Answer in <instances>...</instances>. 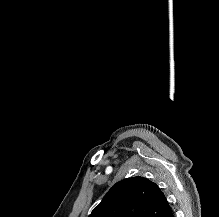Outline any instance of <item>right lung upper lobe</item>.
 Here are the masks:
<instances>
[{
  "label": "right lung upper lobe",
  "mask_w": 219,
  "mask_h": 217,
  "mask_svg": "<svg viewBox=\"0 0 219 217\" xmlns=\"http://www.w3.org/2000/svg\"><path fill=\"white\" fill-rule=\"evenodd\" d=\"M171 213L160 188L136 176L117 182L89 217H169Z\"/></svg>",
  "instance_id": "right-lung-upper-lobe-1"
}]
</instances>
